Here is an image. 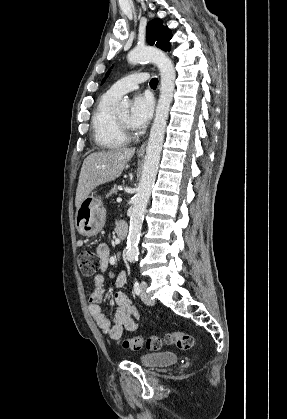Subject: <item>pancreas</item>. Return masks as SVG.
Wrapping results in <instances>:
<instances>
[{"label": "pancreas", "instance_id": "cf45deb5", "mask_svg": "<svg viewBox=\"0 0 287 419\" xmlns=\"http://www.w3.org/2000/svg\"><path fill=\"white\" fill-rule=\"evenodd\" d=\"M117 191H118L117 186H116V185H114V186L111 188V190L109 191V193L107 194V197H110V196H112L113 194H116V193H117Z\"/></svg>", "mask_w": 287, "mask_h": 419}]
</instances>
